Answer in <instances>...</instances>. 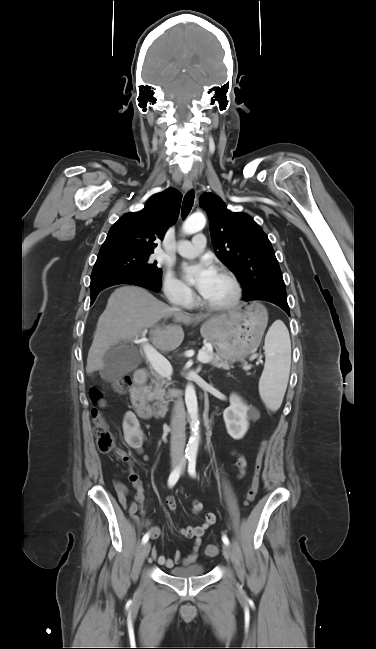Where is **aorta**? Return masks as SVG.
<instances>
[{
  "mask_svg": "<svg viewBox=\"0 0 376 649\" xmlns=\"http://www.w3.org/2000/svg\"><path fill=\"white\" fill-rule=\"evenodd\" d=\"M206 224L205 216L202 213H194L183 224L185 234H193L201 231ZM185 403L191 418L192 433L187 445V452L195 455L199 444V421H198V404L195 388L188 384L185 389Z\"/></svg>",
  "mask_w": 376,
  "mask_h": 649,
  "instance_id": "aorta-1",
  "label": "aorta"
}]
</instances>
